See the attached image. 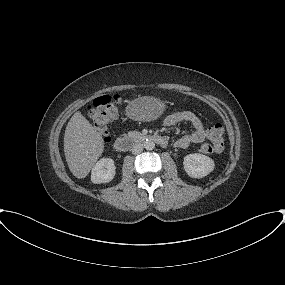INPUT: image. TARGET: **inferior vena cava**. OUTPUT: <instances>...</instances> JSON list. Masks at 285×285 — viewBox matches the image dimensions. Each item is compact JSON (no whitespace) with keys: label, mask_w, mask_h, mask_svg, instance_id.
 <instances>
[{"label":"inferior vena cava","mask_w":285,"mask_h":285,"mask_svg":"<svg viewBox=\"0 0 285 285\" xmlns=\"http://www.w3.org/2000/svg\"><path fill=\"white\" fill-rule=\"evenodd\" d=\"M131 151L134 155L140 154L143 151V144H135Z\"/></svg>","instance_id":"obj_1"}]
</instances>
